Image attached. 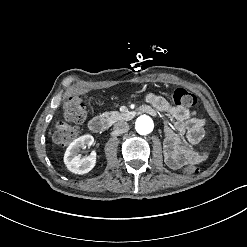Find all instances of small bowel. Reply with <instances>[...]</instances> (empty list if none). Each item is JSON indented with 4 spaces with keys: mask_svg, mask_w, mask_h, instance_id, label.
<instances>
[{
    "mask_svg": "<svg viewBox=\"0 0 247 247\" xmlns=\"http://www.w3.org/2000/svg\"><path fill=\"white\" fill-rule=\"evenodd\" d=\"M146 101L151 105L148 114L155 116L157 110L168 113L171 125L163 128L164 156L168 166L177 169L180 164L176 161L179 152L187 150L188 163H200L206 158V150L193 151L191 145L198 144L204 137L205 120L194 111L183 106L172 107L162 96L150 93Z\"/></svg>",
    "mask_w": 247,
    "mask_h": 247,
    "instance_id": "1",
    "label": "small bowel"
}]
</instances>
